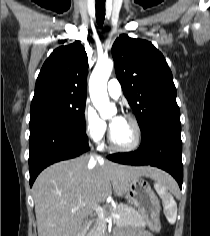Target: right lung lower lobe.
Returning <instances> with one entry per match:
<instances>
[{"mask_svg": "<svg viewBox=\"0 0 210 236\" xmlns=\"http://www.w3.org/2000/svg\"><path fill=\"white\" fill-rule=\"evenodd\" d=\"M88 149L86 133L72 127L46 125L30 130V186L47 166L78 157Z\"/></svg>", "mask_w": 210, "mask_h": 236, "instance_id": "obj_1", "label": "right lung lower lobe"}]
</instances>
